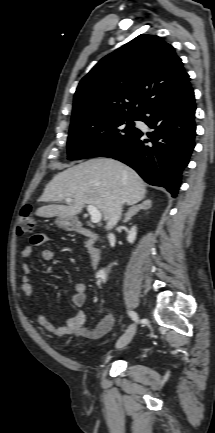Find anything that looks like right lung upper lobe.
Instances as JSON below:
<instances>
[{"label": "right lung upper lobe", "instance_id": "1", "mask_svg": "<svg viewBox=\"0 0 215 433\" xmlns=\"http://www.w3.org/2000/svg\"><path fill=\"white\" fill-rule=\"evenodd\" d=\"M189 80L170 44L141 34L102 58L81 80L71 125L142 116L154 102Z\"/></svg>", "mask_w": 215, "mask_h": 433}]
</instances>
